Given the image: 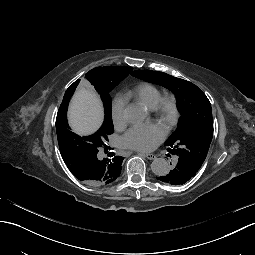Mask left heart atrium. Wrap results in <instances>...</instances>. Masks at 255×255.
<instances>
[{
	"label": "left heart atrium",
	"mask_w": 255,
	"mask_h": 255,
	"mask_svg": "<svg viewBox=\"0 0 255 255\" xmlns=\"http://www.w3.org/2000/svg\"><path fill=\"white\" fill-rule=\"evenodd\" d=\"M164 131L155 125H138L130 129L123 137L124 146L141 151L154 150L164 139Z\"/></svg>",
	"instance_id": "39dd6f15"
}]
</instances>
